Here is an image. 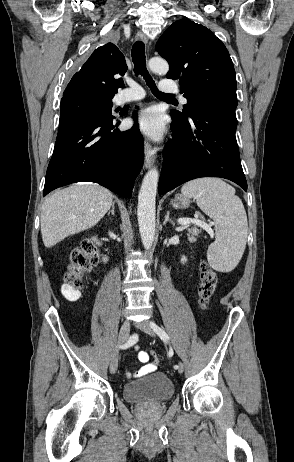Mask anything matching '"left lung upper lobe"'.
<instances>
[{"mask_svg": "<svg viewBox=\"0 0 294 462\" xmlns=\"http://www.w3.org/2000/svg\"><path fill=\"white\" fill-rule=\"evenodd\" d=\"M156 50L170 65L166 77L179 79L181 93L188 100L183 113L172 110V117L187 121L209 103H238L229 52L205 26L188 19L179 20L159 38Z\"/></svg>", "mask_w": 294, "mask_h": 462, "instance_id": "1", "label": "left lung upper lobe"}]
</instances>
